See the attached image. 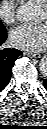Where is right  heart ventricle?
I'll return each instance as SVG.
<instances>
[{
	"mask_svg": "<svg viewBox=\"0 0 47 129\" xmlns=\"http://www.w3.org/2000/svg\"><path fill=\"white\" fill-rule=\"evenodd\" d=\"M33 1H40V2H44V1H46V0H33Z\"/></svg>",
	"mask_w": 47,
	"mask_h": 129,
	"instance_id": "e07e8e85",
	"label": "right heart ventricle"
}]
</instances>
